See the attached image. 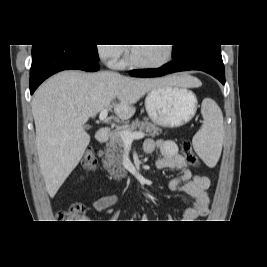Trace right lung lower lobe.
<instances>
[{
    "mask_svg": "<svg viewBox=\"0 0 267 267\" xmlns=\"http://www.w3.org/2000/svg\"><path fill=\"white\" fill-rule=\"evenodd\" d=\"M79 69L95 72L98 60L76 45L40 44L32 46L30 93L49 76L63 70Z\"/></svg>",
    "mask_w": 267,
    "mask_h": 267,
    "instance_id": "obj_1",
    "label": "right lung lower lobe"
}]
</instances>
